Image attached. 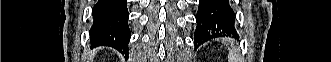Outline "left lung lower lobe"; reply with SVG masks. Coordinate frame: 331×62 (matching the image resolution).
Segmentation results:
<instances>
[{
    "label": "left lung lower lobe",
    "mask_w": 331,
    "mask_h": 62,
    "mask_svg": "<svg viewBox=\"0 0 331 62\" xmlns=\"http://www.w3.org/2000/svg\"><path fill=\"white\" fill-rule=\"evenodd\" d=\"M194 45L216 38L236 37L235 13L229 0H199ZM237 38V37H236Z\"/></svg>",
    "instance_id": "left-lung-lower-lobe-1"
}]
</instances>
